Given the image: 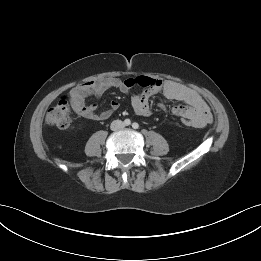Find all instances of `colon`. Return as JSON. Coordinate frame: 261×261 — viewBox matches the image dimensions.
Here are the masks:
<instances>
[{
  "label": "colon",
  "mask_w": 261,
  "mask_h": 261,
  "mask_svg": "<svg viewBox=\"0 0 261 261\" xmlns=\"http://www.w3.org/2000/svg\"><path fill=\"white\" fill-rule=\"evenodd\" d=\"M46 121L49 125L60 129L68 130L72 127L71 110L66 99H61L55 106L50 108ZM181 122L185 126H192L191 120L187 118H182Z\"/></svg>",
  "instance_id": "colon-1"
}]
</instances>
